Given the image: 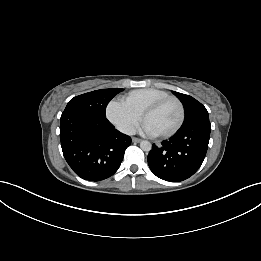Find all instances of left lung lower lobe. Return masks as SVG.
<instances>
[{
  "label": "left lung lower lobe",
  "instance_id": "left-lung-lower-lobe-1",
  "mask_svg": "<svg viewBox=\"0 0 261 261\" xmlns=\"http://www.w3.org/2000/svg\"><path fill=\"white\" fill-rule=\"evenodd\" d=\"M210 122L198 121L182 126L161 146L152 145L148 165L157 177L171 182L191 177L201 166L208 148Z\"/></svg>",
  "mask_w": 261,
  "mask_h": 261
}]
</instances>
